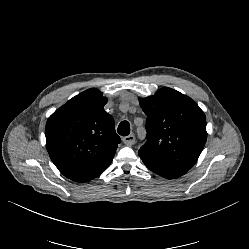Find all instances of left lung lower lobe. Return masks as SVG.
<instances>
[{
  "instance_id": "0a47b994",
  "label": "left lung lower lobe",
  "mask_w": 249,
  "mask_h": 249,
  "mask_svg": "<svg viewBox=\"0 0 249 249\" xmlns=\"http://www.w3.org/2000/svg\"><path fill=\"white\" fill-rule=\"evenodd\" d=\"M144 164L154 173L165 178H177L185 174L188 170L172 167L160 161H144Z\"/></svg>"
}]
</instances>
